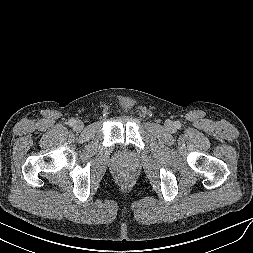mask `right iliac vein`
I'll return each instance as SVG.
<instances>
[{"label":"right iliac vein","mask_w":253,"mask_h":253,"mask_svg":"<svg viewBox=\"0 0 253 253\" xmlns=\"http://www.w3.org/2000/svg\"><path fill=\"white\" fill-rule=\"evenodd\" d=\"M83 123L81 121H77L76 124H75V128L77 130H81L83 128Z\"/></svg>","instance_id":"right-iliac-vein-1"}]
</instances>
